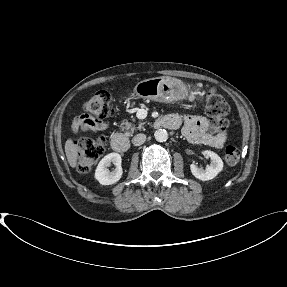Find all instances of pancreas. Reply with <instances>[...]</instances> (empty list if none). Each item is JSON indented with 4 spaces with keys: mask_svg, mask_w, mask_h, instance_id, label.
<instances>
[{
    "mask_svg": "<svg viewBox=\"0 0 287 287\" xmlns=\"http://www.w3.org/2000/svg\"><path fill=\"white\" fill-rule=\"evenodd\" d=\"M143 125L144 123H140L137 127L135 126V124L131 123V122H123L122 123V129L126 130L125 135L126 136H132V134L137 131V130H142L143 129Z\"/></svg>",
    "mask_w": 287,
    "mask_h": 287,
    "instance_id": "pancreas-1",
    "label": "pancreas"
}]
</instances>
